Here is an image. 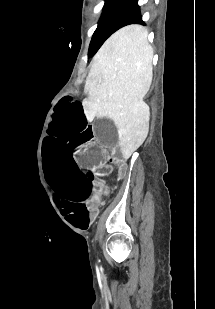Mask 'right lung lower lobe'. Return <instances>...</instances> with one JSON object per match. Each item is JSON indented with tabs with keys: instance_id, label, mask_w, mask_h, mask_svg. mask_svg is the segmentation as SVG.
<instances>
[{
	"instance_id": "right-lung-lower-lobe-1",
	"label": "right lung lower lobe",
	"mask_w": 215,
	"mask_h": 309,
	"mask_svg": "<svg viewBox=\"0 0 215 309\" xmlns=\"http://www.w3.org/2000/svg\"><path fill=\"white\" fill-rule=\"evenodd\" d=\"M129 24L144 25V22L142 21V16L140 14V8L137 4V0H134V2L129 6L127 11L124 13L123 17L119 22V28Z\"/></svg>"
}]
</instances>
